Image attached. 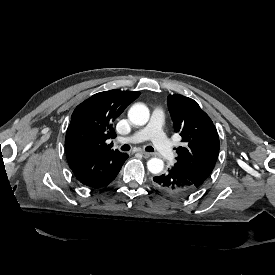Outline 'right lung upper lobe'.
I'll return each instance as SVG.
<instances>
[{"label":"right lung upper lobe","mask_w":275,"mask_h":275,"mask_svg":"<svg viewBox=\"0 0 275 275\" xmlns=\"http://www.w3.org/2000/svg\"><path fill=\"white\" fill-rule=\"evenodd\" d=\"M139 95L140 92L114 89L94 94L79 104L66 132L67 160L113 151L112 143H105L115 135L113 122Z\"/></svg>","instance_id":"right-lung-upper-lobe-1"}]
</instances>
